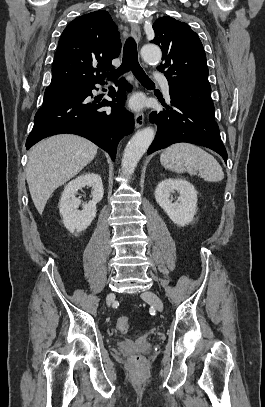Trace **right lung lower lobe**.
Listing matches in <instances>:
<instances>
[{
    "instance_id": "98d812e1",
    "label": "right lung lower lobe",
    "mask_w": 265,
    "mask_h": 407,
    "mask_svg": "<svg viewBox=\"0 0 265 407\" xmlns=\"http://www.w3.org/2000/svg\"><path fill=\"white\" fill-rule=\"evenodd\" d=\"M104 84V79L86 83L71 98L43 105L36 113L34 127L27 138L26 148L29 149L43 138L61 133L83 136L107 151L113 161L119 141L134 128L133 115L123 107L124 90L130 89L125 79H121L109 91L113 102L103 100L92 101V90L95 84ZM118 102V103H114ZM104 106H111V112L100 111Z\"/></svg>"
}]
</instances>
